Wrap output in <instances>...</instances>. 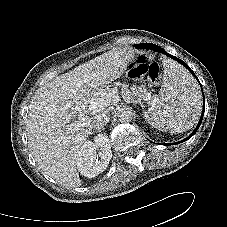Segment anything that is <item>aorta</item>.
Instances as JSON below:
<instances>
[{
    "label": "aorta",
    "instance_id": "aorta-1",
    "mask_svg": "<svg viewBox=\"0 0 227 227\" xmlns=\"http://www.w3.org/2000/svg\"><path fill=\"white\" fill-rule=\"evenodd\" d=\"M134 113L131 108L123 107L117 112V117L120 122H130L132 121Z\"/></svg>",
    "mask_w": 227,
    "mask_h": 227
}]
</instances>
